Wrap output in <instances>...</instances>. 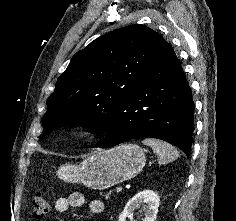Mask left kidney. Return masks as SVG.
<instances>
[{"label": "left kidney", "mask_w": 236, "mask_h": 221, "mask_svg": "<svg viewBox=\"0 0 236 221\" xmlns=\"http://www.w3.org/2000/svg\"><path fill=\"white\" fill-rule=\"evenodd\" d=\"M159 202L160 197L154 191H141L129 200L123 212L120 214L118 221H126L127 217L143 204H145V218L143 221H155L158 213Z\"/></svg>", "instance_id": "obj_1"}]
</instances>
